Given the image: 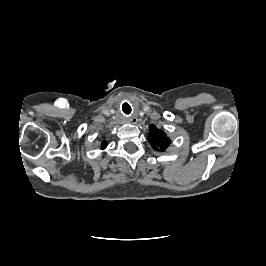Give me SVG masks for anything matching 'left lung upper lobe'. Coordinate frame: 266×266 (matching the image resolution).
Wrapping results in <instances>:
<instances>
[{"instance_id":"5c2ea615","label":"left lung upper lobe","mask_w":266,"mask_h":266,"mask_svg":"<svg viewBox=\"0 0 266 266\" xmlns=\"http://www.w3.org/2000/svg\"><path fill=\"white\" fill-rule=\"evenodd\" d=\"M150 134L148 140L151 146L155 150L164 151L170 144V138L162 131L156 128L154 125H150Z\"/></svg>"}]
</instances>
